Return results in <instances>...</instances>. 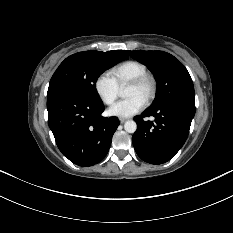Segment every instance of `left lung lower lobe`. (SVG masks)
<instances>
[{
    "instance_id": "left-lung-lower-lobe-1",
    "label": "left lung lower lobe",
    "mask_w": 233,
    "mask_h": 233,
    "mask_svg": "<svg viewBox=\"0 0 233 233\" xmlns=\"http://www.w3.org/2000/svg\"><path fill=\"white\" fill-rule=\"evenodd\" d=\"M195 105L177 101L147 108L136 116L138 128L132 137L137 155L145 162L162 164L169 161L185 143ZM154 116V121L143 118Z\"/></svg>"
}]
</instances>
